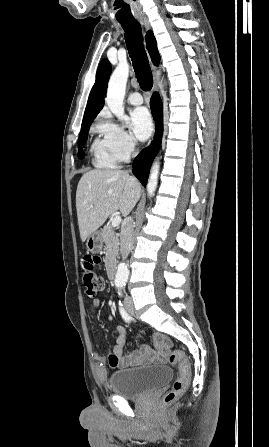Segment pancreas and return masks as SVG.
Masks as SVG:
<instances>
[{"mask_svg":"<svg viewBox=\"0 0 269 447\" xmlns=\"http://www.w3.org/2000/svg\"><path fill=\"white\" fill-rule=\"evenodd\" d=\"M102 233L106 243L105 267L106 269H110L112 263H116V255H118L119 249V233L114 231L111 224L104 225Z\"/></svg>","mask_w":269,"mask_h":447,"instance_id":"pancreas-1","label":"pancreas"}]
</instances>
